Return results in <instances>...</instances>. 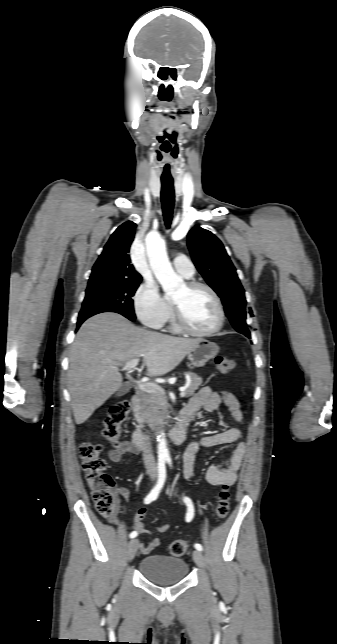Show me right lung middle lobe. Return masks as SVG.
<instances>
[{
	"instance_id": "obj_1",
	"label": "right lung middle lobe",
	"mask_w": 337,
	"mask_h": 644,
	"mask_svg": "<svg viewBox=\"0 0 337 644\" xmlns=\"http://www.w3.org/2000/svg\"><path fill=\"white\" fill-rule=\"evenodd\" d=\"M141 281H97L88 283L78 321L102 312H116L135 319L132 297Z\"/></svg>"
}]
</instances>
